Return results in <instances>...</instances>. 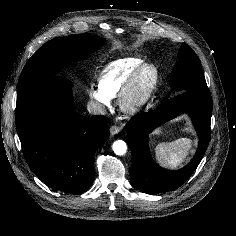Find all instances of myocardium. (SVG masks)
<instances>
[{"label":"myocardium","mask_w":236,"mask_h":236,"mask_svg":"<svg viewBox=\"0 0 236 236\" xmlns=\"http://www.w3.org/2000/svg\"><path fill=\"white\" fill-rule=\"evenodd\" d=\"M152 69L154 77L150 87L141 96H136V85L140 75L146 70ZM161 74L159 68L153 63H143L127 79L118 95L120 109L127 115L134 116L142 113L152 102L160 85Z\"/></svg>","instance_id":"1"}]
</instances>
